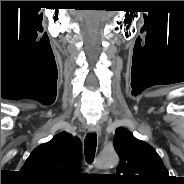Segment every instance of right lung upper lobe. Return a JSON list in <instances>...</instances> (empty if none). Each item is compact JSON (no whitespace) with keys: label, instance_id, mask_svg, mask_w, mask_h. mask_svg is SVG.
I'll return each mask as SVG.
<instances>
[{"label":"right lung upper lobe","instance_id":"cb5924a9","mask_svg":"<svg viewBox=\"0 0 184 184\" xmlns=\"http://www.w3.org/2000/svg\"><path fill=\"white\" fill-rule=\"evenodd\" d=\"M81 163L80 140L62 132L35 148L20 171L32 182L65 184Z\"/></svg>","mask_w":184,"mask_h":184}]
</instances>
